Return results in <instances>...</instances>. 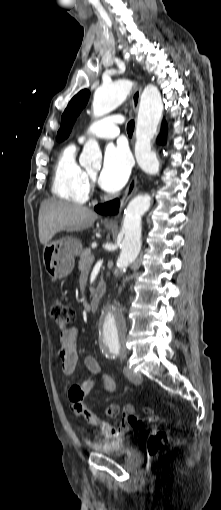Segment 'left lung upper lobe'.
Here are the masks:
<instances>
[{
    "instance_id": "1",
    "label": "left lung upper lobe",
    "mask_w": 221,
    "mask_h": 510,
    "mask_svg": "<svg viewBox=\"0 0 221 510\" xmlns=\"http://www.w3.org/2000/svg\"><path fill=\"white\" fill-rule=\"evenodd\" d=\"M89 94V90H81L69 102L61 118V126L57 133L58 141H63L69 136L77 116L88 102Z\"/></svg>"
}]
</instances>
